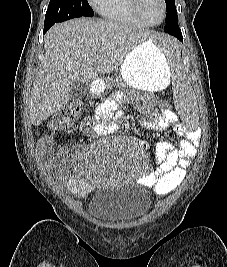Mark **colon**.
Wrapping results in <instances>:
<instances>
[{"instance_id": "obj_1", "label": "colon", "mask_w": 227, "mask_h": 267, "mask_svg": "<svg viewBox=\"0 0 227 267\" xmlns=\"http://www.w3.org/2000/svg\"><path fill=\"white\" fill-rule=\"evenodd\" d=\"M158 107L159 109H173V104H171L170 100H161ZM85 109L86 106L84 102H77L62 112L55 114L49 123L50 131L56 132L69 128Z\"/></svg>"}]
</instances>
